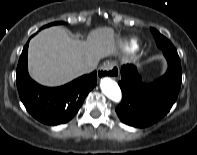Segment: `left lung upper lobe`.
Wrapping results in <instances>:
<instances>
[{
  "instance_id": "left-lung-upper-lobe-1",
  "label": "left lung upper lobe",
  "mask_w": 197,
  "mask_h": 155,
  "mask_svg": "<svg viewBox=\"0 0 197 155\" xmlns=\"http://www.w3.org/2000/svg\"><path fill=\"white\" fill-rule=\"evenodd\" d=\"M151 32L154 35L155 41L157 43V46L164 51H176L175 47L172 45V43L163 35H161L156 29L151 28Z\"/></svg>"
}]
</instances>
